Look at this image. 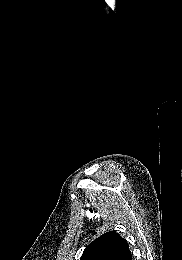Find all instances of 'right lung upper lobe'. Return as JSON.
Listing matches in <instances>:
<instances>
[{
	"label": "right lung upper lobe",
	"mask_w": 182,
	"mask_h": 260,
	"mask_svg": "<svg viewBox=\"0 0 182 260\" xmlns=\"http://www.w3.org/2000/svg\"><path fill=\"white\" fill-rule=\"evenodd\" d=\"M80 260H132V255L127 242L111 231L92 241Z\"/></svg>",
	"instance_id": "cb5924a9"
}]
</instances>
